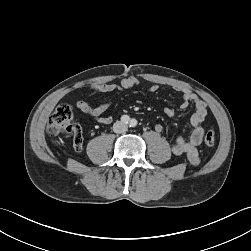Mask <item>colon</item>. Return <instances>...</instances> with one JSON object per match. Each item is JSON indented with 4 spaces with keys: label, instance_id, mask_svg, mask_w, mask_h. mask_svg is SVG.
Wrapping results in <instances>:
<instances>
[{
    "label": "colon",
    "instance_id": "obj_1",
    "mask_svg": "<svg viewBox=\"0 0 251 251\" xmlns=\"http://www.w3.org/2000/svg\"><path fill=\"white\" fill-rule=\"evenodd\" d=\"M47 132L51 137L60 134H73L74 145L78 146L82 143V131L74 122L73 107L68 103L60 104L50 116ZM204 142L207 146L212 147L216 142V134L213 130L205 133Z\"/></svg>",
    "mask_w": 251,
    "mask_h": 251
}]
</instances>
